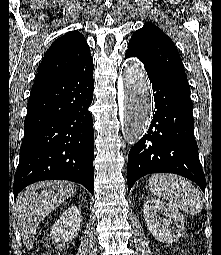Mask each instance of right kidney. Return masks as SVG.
I'll return each instance as SVG.
<instances>
[{
  "label": "right kidney",
  "instance_id": "right-kidney-1",
  "mask_svg": "<svg viewBox=\"0 0 221 255\" xmlns=\"http://www.w3.org/2000/svg\"><path fill=\"white\" fill-rule=\"evenodd\" d=\"M81 226L80 211L77 206L65 210L51 229L50 237L55 242L71 240L77 236Z\"/></svg>",
  "mask_w": 221,
  "mask_h": 255
}]
</instances>
